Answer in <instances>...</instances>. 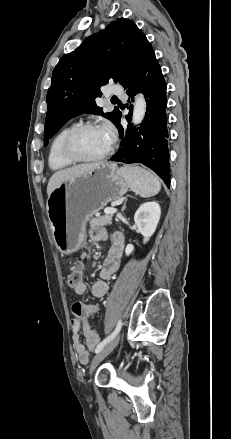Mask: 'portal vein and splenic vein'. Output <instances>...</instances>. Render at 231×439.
I'll use <instances>...</instances> for the list:
<instances>
[{"label": "portal vein and splenic vein", "mask_w": 231, "mask_h": 439, "mask_svg": "<svg viewBox=\"0 0 231 439\" xmlns=\"http://www.w3.org/2000/svg\"><path fill=\"white\" fill-rule=\"evenodd\" d=\"M117 212V209L116 208H105L104 209V213L105 214H110V215H112V214H114V213H116Z\"/></svg>", "instance_id": "portal-vein-and-splenic-vein-1"}]
</instances>
